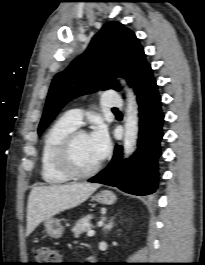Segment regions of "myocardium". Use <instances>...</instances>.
I'll return each instance as SVG.
<instances>
[{"instance_id": "f54148a6", "label": "myocardium", "mask_w": 205, "mask_h": 265, "mask_svg": "<svg viewBox=\"0 0 205 265\" xmlns=\"http://www.w3.org/2000/svg\"><path fill=\"white\" fill-rule=\"evenodd\" d=\"M84 135H87V132L82 129H75L71 131L62 140L56 154V163L58 168L70 178H76V179L88 178L96 174L101 167L100 161L92 168L84 171L79 170L74 166L72 161L73 145L80 136Z\"/></svg>"}]
</instances>
